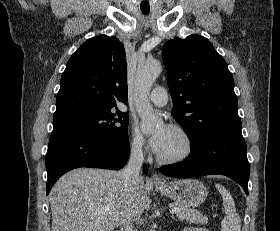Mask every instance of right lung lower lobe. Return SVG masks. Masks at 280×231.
Returning <instances> with one entry per match:
<instances>
[{"label":"right lung lower lobe","mask_w":280,"mask_h":231,"mask_svg":"<svg viewBox=\"0 0 280 231\" xmlns=\"http://www.w3.org/2000/svg\"><path fill=\"white\" fill-rule=\"evenodd\" d=\"M128 136L100 138L77 131L52 132L46 154L48 195L55 182L66 172L79 167L120 169L129 157ZM144 172L147 167L144 165Z\"/></svg>","instance_id":"98d812e1"}]
</instances>
